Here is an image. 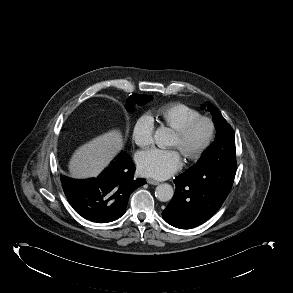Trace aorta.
Instances as JSON below:
<instances>
[{"instance_id": "aorta-1", "label": "aorta", "mask_w": 293, "mask_h": 293, "mask_svg": "<svg viewBox=\"0 0 293 293\" xmlns=\"http://www.w3.org/2000/svg\"><path fill=\"white\" fill-rule=\"evenodd\" d=\"M154 140L158 147H168L172 143V132L169 128H158L154 134ZM174 191L171 185L167 183L160 184L155 189V196L162 202L172 199Z\"/></svg>"}]
</instances>
